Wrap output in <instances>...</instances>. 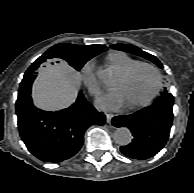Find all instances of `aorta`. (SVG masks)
<instances>
[{"label":"aorta","mask_w":194,"mask_h":193,"mask_svg":"<svg viewBox=\"0 0 194 193\" xmlns=\"http://www.w3.org/2000/svg\"><path fill=\"white\" fill-rule=\"evenodd\" d=\"M98 78L104 83H110L113 79V72L110 69L100 68L97 71ZM132 135L128 128L120 127L114 133V140L119 145H128L131 142Z\"/></svg>","instance_id":"1"}]
</instances>
